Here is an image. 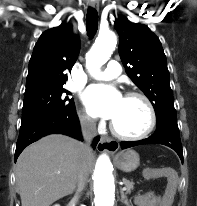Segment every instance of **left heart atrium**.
I'll use <instances>...</instances> for the list:
<instances>
[{
    "instance_id": "left-heart-atrium-1",
    "label": "left heart atrium",
    "mask_w": 197,
    "mask_h": 206,
    "mask_svg": "<svg viewBox=\"0 0 197 206\" xmlns=\"http://www.w3.org/2000/svg\"><path fill=\"white\" fill-rule=\"evenodd\" d=\"M122 99L114 87L107 85L90 86L84 94L85 104L92 115L112 120L119 112Z\"/></svg>"
}]
</instances>
